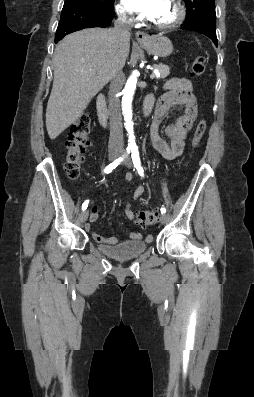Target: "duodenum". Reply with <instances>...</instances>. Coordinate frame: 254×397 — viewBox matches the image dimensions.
<instances>
[{
    "label": "duodenum",
    "instance_id": "duodenum-1",
    "mask_svg": "<svg viewBox=\"0 0 254 397\" xmlns=\"http://www.w3.org/2000/svg\"><path fill=\"white\" fill-rule=\"evenodd\" d=\"M152 106H153V96L152 95H148L143 103V107H142V112L143 115L145 117H147L151 110H152ZM96 108H97V114H98V118L100 123L105 126L107 125L108 122V109H107V104H106V100L103 94H99L97 96L96 99Z\"/></svg>",
    "mask_w": 254,
    "mask_h": 397
}]
</instances>
